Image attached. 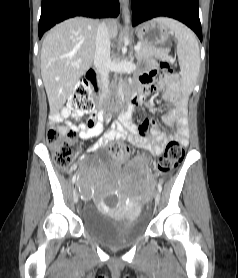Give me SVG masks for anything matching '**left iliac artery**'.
Segmentation results:
<instances>
[{"instance_id": "obj_1", "label": "left iliac artery", "mask_w": 238, "mask_h": 278, "mask_svg": "<svg viewBox=\"0 0 238 278\" xmlns=\"http://www.w3.org/2000/svg\"><path fill=\"white\" fill-rule=\"evenodd\" d=\"M158 190H159V192L162 191V185L160 183H158Z\"/></svg>"}]
</instances>
